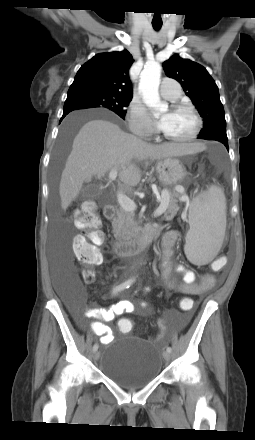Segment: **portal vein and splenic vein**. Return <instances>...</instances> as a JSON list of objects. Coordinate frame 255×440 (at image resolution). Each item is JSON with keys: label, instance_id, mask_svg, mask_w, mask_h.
Instances as JSON below:
<instances>
[{"label": "portal vein and splenic vein", "instance_id": "portal-vein-and-splenic-vein-1", "mask_svg": "<svg viewBox=\"0 0 255 440\" xmlns=\"http://www.w3.org/2000/svg\"><path fill=\"white\" fill-rule=\"evenodd\" d=\"M117 174H118V168L114 167L109 173V179L115 180L117 178ZM117 200L121 208L124 209L125 211L133 212L136 210L137 206L135 202L132 199H130L128 196L123 194L122 192H117ZM165 210H166V205L165 204L160 205L154 211V216L155 217L160 216L165 212Z\"/></svg>", "mask_w": 255, "mask_h": 440}]
</instances>
